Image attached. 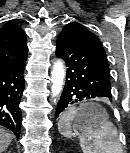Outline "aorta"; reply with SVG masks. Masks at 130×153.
<instances>
[{"label": "aorta", "mask_w": 130, "mask_h": 153, "mask_svg": "<svg viewBox=\"0 0 130 153\" xmlns=\"http://www.w3.org/2000/svg\"><path fill=\"white\" fill-rule=\"evenodd\" d=\"M65 76H66V71L63 62L61 60H56L53 63L52 72H51L52 98L58 97L61 94L64 85Z\"/></svg>", "instance_id": "1"}]
</instances>
